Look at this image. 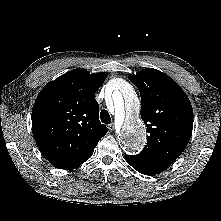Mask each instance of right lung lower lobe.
<instances>
[{
  "instance_id": "98d812e1",
  "label": "right lung lower lobe",
  "mask_w": 221,
  "mask_h": 221,
  "mask_svg": "<svg viewBox=\"0 0 221 221\" xmlns=\"http://www.w3.org/2000/svg\"><path fill=\"white\" fill-rule=\"evenodd\" d=\"M92 154H93V152L90 153L89 155H87L86 157L82 158L81 160L76 161L75 163H73L72 165H70V166H69L68 168H66V169H74V168H77L79 165H81V164L84 163L86 160H88V159L91 157Z\"/></svg>"
}]
</instances>
